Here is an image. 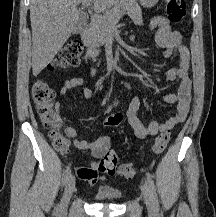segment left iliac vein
<instances>
[{
    "label": "left iliac vein",
    "instance_id": "1",
    "mask_svg": "<svg viewBox=\"0 0 216 217\" xmlns=\"http://www.w3.org/2000/svg\"><path fill=\"white\" fill-rule=\"evenodd\" d=\"M141 190L147 209L148 211L152 212L154 210V205L148 186L146 184H143L141 186Z\"/></svg>",
    "mask_w": 216,
    "mask_h": 217
}]
</instances>
